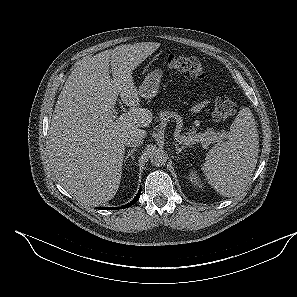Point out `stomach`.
I'll return each mask as SVG.
<instances>
[{"label":"stomach","mask_w":297,"mask_h":297,"mask_svg":"<svg viewBox=\"0 0 297 297\" xmlns=\"http://www.w3.org/2000/svg\"><path fill=\"white\" fill-rule=\"evenodd\" d=\"M162 76L163 69L156 68L151 70L138 89L139 95L145 99L155 97L158 93Z\"/></svg>","instance_id":"stomach-1"}]
</instances>
